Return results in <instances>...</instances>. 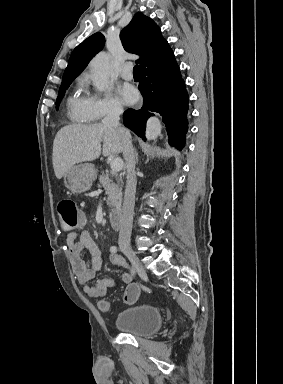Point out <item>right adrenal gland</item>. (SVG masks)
I'll use <instances>...</instances> for the list:
<instances>
[{"label": "right adrenal gland", "instance_id": "right-adrenal-gland-1", "mask_svg": "<svg viewBox=\"0 0 283 384\" xmlns=\"http://www.w3.org/2000/svg\"><path fill=\"white\" fill-rule=\"evenodd\" d=\"M134 154H135L136 164H138L139 160H138V154H137L136 150H134Z\"/></svg>", "mask_w": 283, "mask_h": 384}]
</instances>
